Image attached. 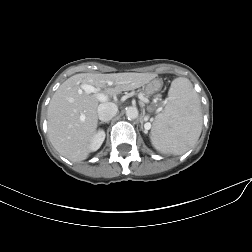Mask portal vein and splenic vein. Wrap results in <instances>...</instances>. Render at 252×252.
<instances>
[{"label":"portal vein and splenic vein","instance_id":"1","mask_svg":"<svg viewBox=\"0 0 252 252\" xmlns=\"http://www.w3.org/2000/svg\"><path fill=\"white\" fill-rule=\"evenodd\" d=\"M82 88H83L86 92H88V93H96V94H97V99H98L99 101H101V102H104V101L107 100V96H105V95L102 94V93H99V90L96 89L95 87L91 86V85L85 84V85L82 86ZM146 126H147L148 128H150V123H146Z\"/></svg>","mask_w":252,"mask_h":252}]
</instances>
